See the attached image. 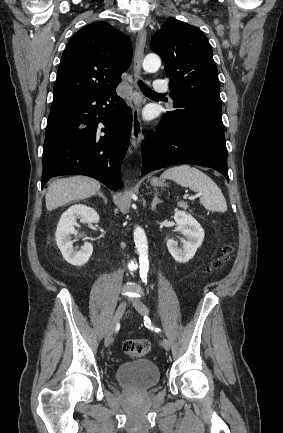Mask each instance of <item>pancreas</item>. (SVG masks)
I'll use <instances>...</instances> for the list:
<instances>
[{
    "label": "pancreas",
    "mask_w": 283,
    "mask_h": 433,
    "mask_svg": "<svg viewBox=\"0 0 283 433\" xmlns=\"http://www.w3.org/2000/svg\"><path fill=\"white\" fill-rule=\"evenodd\" d=\"M183 208H188V204H183Z\"/></svg>",
    "instance_id": "obj_1"
}]
</instances>
